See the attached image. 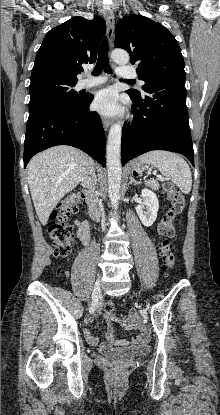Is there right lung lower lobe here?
<instances>
[{"label":"right lung lower lobe","mask_w":220,"mask_h":415,"mask_svg":"<svg viewBox=\"0 0 220 415\" xmlns=\"http://www.w3.org/2000/svg\"><path fill=\"white\" fill-rule=\"evenodd\" d=\"M92 95L74 104L54 105L30 115L24 141V167L36 153L56 145L83 150L104 167L106 137L100 116L89 111Z\"/></svg>","instance_id":"1"}]
</instances>
